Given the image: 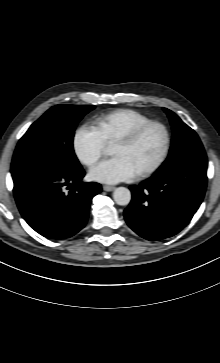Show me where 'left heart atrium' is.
Segmentation results:
<instances>
[{"label":"left heart atrium","mask_w":220,"mask_h":363,"mask_svg":"<svg viewBox=\"0 0 220 363\" xmlns=\"http://www.w3.org/2000/svg\"><path fill=\"white\" fill-rule=\"evenodd\" d=\"M137 174L128 160L121 156L106 159L90 170V177L103 183L128 181L135 178Z\"/></svg>","instance_id":"1"}]
</instances>
